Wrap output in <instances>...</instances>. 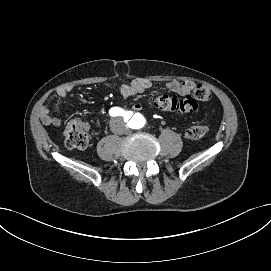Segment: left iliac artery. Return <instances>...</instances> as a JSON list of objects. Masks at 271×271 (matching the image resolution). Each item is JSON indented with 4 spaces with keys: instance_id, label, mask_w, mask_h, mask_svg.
Instances as JSON below:
<instances>
[{
    "instance_id": "left-iliac-artery-1",
    "label": "left iliac artery",
    "mask_w": 271,
    "mask_h": 271,
    "mask_svg": "<svg viewBox=\"0 0 271 271\" xmlns=\"http://www.w3.org/2000/svg\"><path fill=\"white\" fill-rule=\"evenodd\" d=\"M135 117H136V115H134L132 118V124H131L130 128H137V127L141 126V124H142V122H139V120H134Z\"/></svg>"
}]
</instances>
